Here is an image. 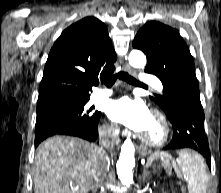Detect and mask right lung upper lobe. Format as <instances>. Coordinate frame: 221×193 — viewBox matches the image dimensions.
<instances>
[{"mask_svg":"<svg viewBox=\"0 0 221 193\" xmlns=\"http://www.w3.org/2000/svg\"><path fill=\"white\" fill-rule=\"evenodd\" d=\"M116 53L104 23L86 17L62 32L52 47L37 104L90 99L91 85L111 74Z\"/></svg>","mask_w":221,"mask_h":193,"instance_id":"1","label":"right lung upper lobe"}]
</instances>
